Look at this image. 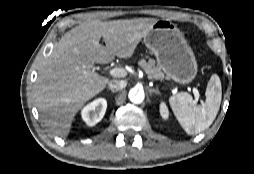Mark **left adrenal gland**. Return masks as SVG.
<instances>
[{"mask_svg":"<svg viewBox=\"0 0 254 174\" xmlns=\"http://www.w3.org/2000/svg\"><path fill=\"white\" fill-rule=\"evenodd\" d=\"M148 91H149V94H150V95H152L153 93L159 94L158 89H152V88H149V87H148Z\"/></svg>","mask_w":254,"mask_h":174,"instance_id":"1","label":"left adrenal gland"}]
</instances>
